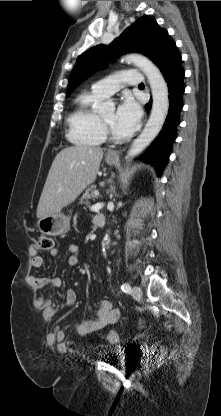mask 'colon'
Segmentation results:
<instances>
[{"label":"colon","mask_w":221,"mask_h":416,"mask_svg":"<svg viewBox=\"0 0 221 416\" xmlns=\"http://www.w3.org/2000/svg\"><path fill=\"white\" fill-rule=\"evenodd\" d=\"M39 247L43 250H52L54 248V239L49 235H42L39 239ZM106 339L109 342H116L118 339L117 333L113 330H110L106 334ZM162 349L157 347L153 352L152 359L158 360L162 356Z\"/></svg>","instance_id":"colon-1"}]
</instances>
